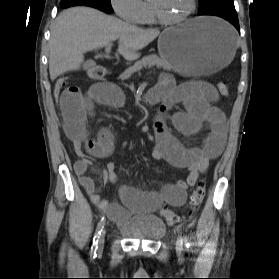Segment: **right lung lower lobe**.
I'll use <instances>...</instances> for the list:
<instances>
[{"label":"right lung lower lobe","mask_w":279,"mask_h":279,"mask_svg":"<svg viewBox=\"0 0 279 279\" xmlns=\"http://www.w3.org/2000/svg\"><path fill=\"white\" fill-rule=\"evenodd\" d=\"M61 7L63 8H68L71 6H78V5H83V6H90L97 8L105 13H110L108 9L103 7L101 4L97 2V0H61L60 3Z\"/></svg>","instance_id":"1"}]
</instances>
